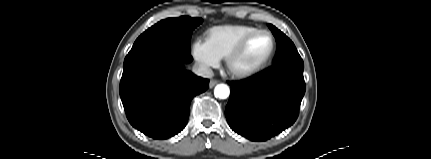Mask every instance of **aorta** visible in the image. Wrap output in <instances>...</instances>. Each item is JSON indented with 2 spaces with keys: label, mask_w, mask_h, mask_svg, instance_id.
<instances>
[{
  "label": "aorta",
  "mask_w": 431,
  "mask_h": 159,
  "mask_svg": "<svg viewBox=\"0 0 431 159\" xmlns=\"http://www.w3.org/2000/svg\"><path fill=\"white\" fill-rule=\"evenodd\" d=\"M230 94V89L226 84H218L214 89V95L220 99H226Z\"/></svg>",
  "instance_id": "aorta-1"
}]
</instances>
